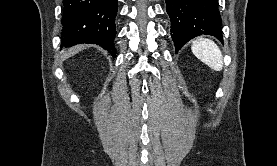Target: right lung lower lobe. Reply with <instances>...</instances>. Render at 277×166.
I'll list each match as a JSON object with an SVG mask.
<instances>
[{
  "instance_id": "obj_1",
  "label": "right lung lower lobe",
  "mask_w": 277,
  "mask_h": 166,
  "mask_svg": "<svg viewBox=\"0 0 277 166\" xmlns=\"http://www.w3.org/2000/svg\"><path fill=\"white\" fill-rule=\"evenodd\" d=\"M62 46L97 44L115 58L117 0H63Z\"/></svg>"
}]
</instances>
